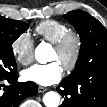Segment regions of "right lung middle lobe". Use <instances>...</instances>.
Returning a JSON list of instances; mask_svg holds the SVG:
<instances>
[{
  "label": "right lung middle lobe",
  "instance_id": "dd1d6c3e",
  "mask_svg": "<svg viewBox=\"0 0 107 107\" xmlns=\"http://www.w3.org/2000/svg\"><path fill=\"white\" fill-rule=\"evenodd\" d=\"M0 80L14 75L16 62L12 43L28 29V24L0 17Z\"/></svg>",
  "mask_w": 107,
  "mask_h": 107
}]
</instances>
